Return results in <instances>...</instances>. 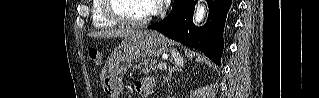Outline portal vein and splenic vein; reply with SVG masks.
Segmentation results:
<instances>
[{"label": "portal vein and splenic vein", "instance_id": "obj_1", "mask_svg": "<svg viewBox=\"0 0 319 98\" xmlns=\"http://www.w3.org/2000/svg\"><path fill=\"white\" fill-rule=\"evenodd\" d=\"M166 68H167V65L165 63H159L157 65V69L159 70H166Z\"/></svg>", "mask_w": 319, "mask_h": 98}]
</instances>
